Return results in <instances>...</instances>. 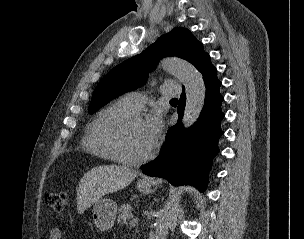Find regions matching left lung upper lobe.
I'll use <instances>...</instances> for the list:
<instances>
[{"label":"left lung upper lobe","instance_id":"1","mask_svg":"<svg viewBox=\"0 0 304 239\" xmlns=\"http://www.w3.org/2000/svg\"><path fill=\"white\" fill-rule=\"evenodd\" d=\"M166 56L185 59L199 70L209 54L188 29L175 28L159 37L141 54L110 70L95 88L88 112L93 114L110 100L143 85L148 72Z\"/></svg>","mask_w":304,"mask_h":239}]
</instances>
